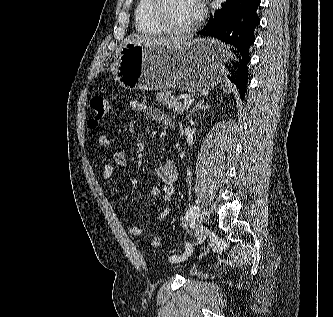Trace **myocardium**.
Listing matches in <instances>:
<instances>
[{"mask_svg": "<svg viewBox=\"0 0 333 317\" xmlns=\"http://www.w3.org/2000/svg\"><path fill=\"white\" fill-rule=\"evenodd\" d=\"M165 3L166 0H151L150 4V12L157 23V25L168 34L177 35V36H186L197 30L201 22V13L199 11L198 16L195 22L186 27V28H178L173 26L165 17Z\"/></svg>", "mask_w": 333, "mask_h": 317, "instance_id": "obj_1", "label": "myocardium"}]
</instances>
